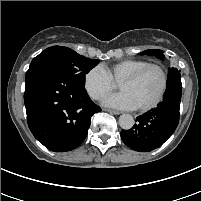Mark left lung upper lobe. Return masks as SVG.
Wrapping results in <instances>:
<instances>
[{
	"mask_svg": "<svg viewBox=\"0 0 201 201\" xmlns=\"http://www.w3.org/2000/svg\"><path fill=\"white\" fill-rule=\"evenodd\" d=\"M144 54H147V55H154L160 59H163L164 58V54H163V51L162 50H159V49H150V50H146V51H143L140 53V55H144ZM180 77V71L177 70V68H169V71H168V80H170L172 77ZM167 80V82H168Z\"/></svg>",
	"mask_w": 201,
	"mask_h": 201,
	"instance_id": "left-lung-upper-lobe-1",
	"label": "left lung upper lobe"
}]
</instances>
